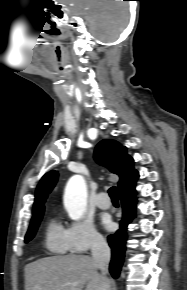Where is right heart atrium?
<instances>
[{"instance_id": "right-heart-atrium-1", "label": "right heart atrium", "mask_w": 187, "mask_h": 290, "mask_svg": "<svg viewBox=\"0 0 187 290\" xmlns=\"http://www.w3.org/2000/svg\"><path fill=\"white\" fill-rule=\"evenodd\" d=\"M66 235L70 251L73 253H86L104 243L102 235L86 218L70 222L66 229Z\"/></svg>"}]
</instances>
